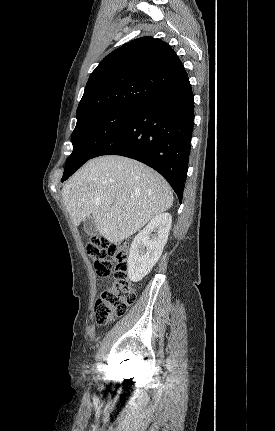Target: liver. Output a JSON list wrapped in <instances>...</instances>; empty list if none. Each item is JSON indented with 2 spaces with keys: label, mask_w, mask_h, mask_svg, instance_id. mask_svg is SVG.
Here are the masks:
<instances>
[{
  "label": "liver",
  "mask_w": 275,
  "mask_h": 431,
  "mask_svg": "<svg viewBox=\"0 0 275 431\" xmlns=\"http://www.w3.org/2000/svg\"><path fill=\"white\" fill-rule=\"evenodd\" d=\"M62 198L75 226L92 215L100 235L113 244L173 204L171 187L159 173L118 155L88 161L65 184Z\"/></svg>",
  "instance_id": "liver-1"
}]
</instances>
